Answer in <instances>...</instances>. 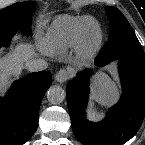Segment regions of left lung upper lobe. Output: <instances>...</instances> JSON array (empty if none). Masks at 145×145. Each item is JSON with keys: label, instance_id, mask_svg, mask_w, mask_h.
Instances as JSON below:
<instances>
[{"label": "left lung upper lobe", "instance_id": "obj_1", "mask_svg": "<svg viewBox=\"0 0 145 145\" xmlns=\"http://www.w3.org/2000/svg\"><path fill=\"white\" fill-rule=\"evenodd\" d=\"M105 11L110 22V33L109 41L103 48L104 54L112 59L145 61L143 48L122 12L113 6H106Z\"/></svg>", "mask_w": 145, "mask_h": 145}]
</instances>
